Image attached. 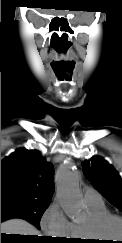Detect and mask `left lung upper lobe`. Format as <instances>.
<instances>
[{"mask_svg": "<svg viewBox=\"0 0 122 243\" xmlns=\"http://www.w3.org/2000/svg\"><path fill=\"white\" fill-rule=\"evenodd\" d=\"M84 175L111 204L122 211V179L104 158L92 157L82 162Z\"/></svg>", "mask_w": 122, "mask_h": 243, "instance_id": "5c2ea615", "label": "left lung upper lobe"}]
</instances>
